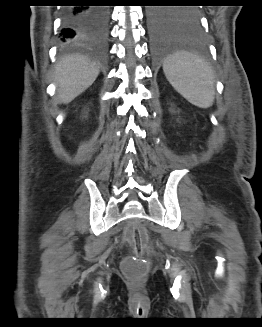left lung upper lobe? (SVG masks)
<instances>
[{
  "instance_id": "obj_1",
  "label": "left lung upper lobe",
  "mask_w": 262,
  "mask_h": 327,
  "mask_svg": "<svg viewBox=\"0 0 262 327\" xmlns=\"http://www.w3.org/2000/svg\"><path fill=\"white\" fill-rule=\"evenodd\" d=\"M187 12H188L187 14L192 18L197 19L199 17L198 12L195 9H189Z\"/></svg>"
}]
</instances>
